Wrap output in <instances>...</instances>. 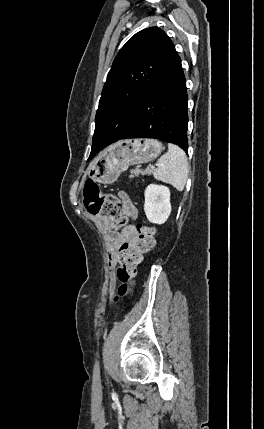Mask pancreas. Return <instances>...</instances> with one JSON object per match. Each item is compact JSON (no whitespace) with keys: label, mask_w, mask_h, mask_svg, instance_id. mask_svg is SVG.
<instances>
[{"label":"pancreas","mask_w":264,"mask_h":429,"mask_svg":"<svg viewBox=\"0 0 264 429\" xmlns=\"http://www.w3.org/2000/svg\"><path fill=\"white\" fill-rule=\"evenodd\" d=\"M131 177H138L139 175H151L152 174V170L147 168L146 170H142L139 167H136L134 169H132L131 171Z\"/></svg>","instance_id":"pancreas-1"}]
</instances>
